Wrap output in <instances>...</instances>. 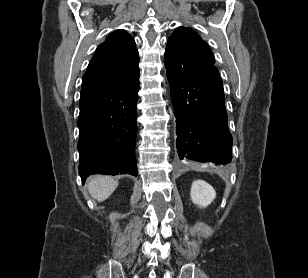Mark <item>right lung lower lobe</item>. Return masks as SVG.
<instances>
[{
	"label": "right lung lower lobe",
	"mask_w": 308,
	"mask_h": 278,
	"mask_svg": "<svg viewBox=\"0 0 308 278\" xmlns=\"http://www.w3.org/2000/svg\"><path fill=\"white\" fill-rule=\"evenodd\" d=\"M139 76L113 92L82 96L78 118L82 181L90 174L137 176L135 139Z\"/></svg>",
	"instance_id": "98d812e1"
}]
</instances>
